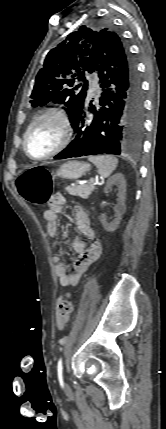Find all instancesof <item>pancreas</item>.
<instances>
[{"label": "pancreas", "mask_w": 166, "mask_h": 429, "mask_svg": "<svg viewBox=\"0 0 166 429\" xmlns=\"http://www.w3.org/2000/svg\"><path fill=\"white\" fill-rule=\"evenodd\" d=\"M95 189V184L88 183L83 185H70L65 188V190L73 196H80L82 198H88L89 195L93 192Z\"/></svg>", "instance_id": "pancreas-1"}]
</instances>
